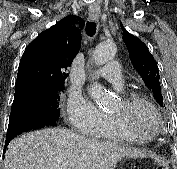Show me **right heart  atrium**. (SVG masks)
<instances>
[{"instance_id": "obj_1", "label": "right heart atrium", "mask_w": 177, "mask_h": 169, "mask_svg": "<svg viewBox=\"0 0 177 169\" xmlns=\"http://www.w3.org/2000/svg\"><path fill=\"white\" fill-rule=\"evenodd\" d=\"M66 112L70 125L87 135L101 126L104 120V114L78 92L69 95Z\"/></svg>"}]
</instances>
